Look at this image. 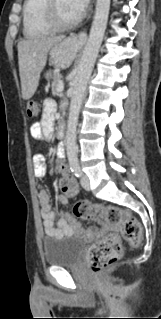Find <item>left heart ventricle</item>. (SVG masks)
I'll return each mask as SVG.
<instances>
[{
    "mask_svg": "<svg viewBox=\"0 0 161 319\" xmlns=\"http://www.w3.org/2000/svg\"><path fill=\"white\" fill-rule=\"evenodd\" d=\"M57 10L59 19L68 22L75 19L78 15L72 10L68 0H57Z\"/></svg>",
    "mask_w": 161,
    "mask_h": 319,
    "instance_id": "obj_1",
    "label": "left heart ventricle"
}]
</instances>
